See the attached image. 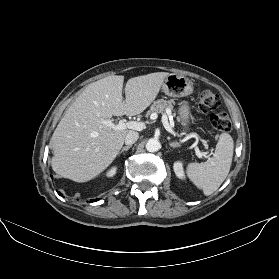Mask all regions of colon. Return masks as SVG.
<instances>
[{"label": "colon", "instance_id": "1", "mask_svg": "<svg viewBox=\"0 0 279 279\" xmlns=\"http://www.w3.org/2000/svg\"><path fill=\"white\" fill-rule=\"evenodd\" d=\"M199 109L209 115L213 127L220 132H228L231 129V121L227 113L220 111V97L209 89H202L198 95Z\"/></svg>", "mask_w": 279, "mask_h": 279}]
</instances>
